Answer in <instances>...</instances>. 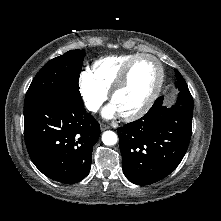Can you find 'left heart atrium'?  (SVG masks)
<instances>
[{"instance_id":"39dd6f15","label":"left heart atrium","mask_w":221,"mask_h":221,"mask_svg":"<svg viewBox=\"0 0 221 221\" xmlns=\"http://www.w3.org/2000/svg\"><path fill=\"white\" fill-rule=\"evenodd\" d=\"M119 113L118 108L116 107V105L112 102L111 104H109L108 106H106L103 109L102 115L107 118L110 119L112 117H114L116 114Z\"/></svg>"}]
</instances>
